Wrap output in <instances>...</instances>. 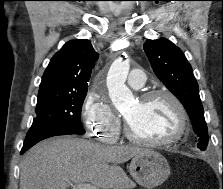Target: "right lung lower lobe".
Wrapping results in <instances>:
<instances>
[{"mask_svg": "<svg viewBox=\"0 0 223 189\" xmlns=\"http://www.w3.org/2000/svg\"><path fill=\"white\" fill-rule=\"evenodd\" d=\"M68 134H76L72 132L70 129L59 126V125H47V124H32L30 130L28 131L21 154L31 148L33 145L38 143L41 140L52 136L58 135H68Z\"/></svg>", "mask_w": 223, "mask_h": 189, "instance_id": "1", "label": "right lung lower lobe"}]
</instances>
